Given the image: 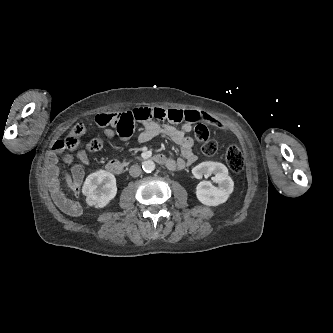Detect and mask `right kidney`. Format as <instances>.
<instances>
[{
    "label": "right kidney",
    "instance_id": "right-kidney-1",
    "mask_svg": "<svg viewBox=\"0 0 333 333\" xmlns=\"http://www.w3.org/2000/svg\"><path fill=\"white\" fill-rule=\"evenodd\" d=\"M87 204L103 208L116 196L117 186L115 176L105 170L90 174L82 187Z\"/></svg>",
    "mask_w": 333,
    "mask_h": 333
}]
</instances>
